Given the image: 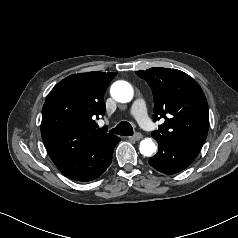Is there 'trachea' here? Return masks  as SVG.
Here are the masks:
<instances>
[{
	"mask_svg": "<svg viewBox=\"0 0 238 238\" xmlns=\"http://www.w3.org/2000/svg\"><path fill=\"white\" fill-rule=\"evenodd\" d=\"M110 133L121 136H131L133 135V128L129 122L122 121L115 128L111 129Z\"/></svg>",
	"mask_w": 238,
	"mask_h": 238,
	"instance_id": "1",
	"label": "trachea"
}]
</instances>
